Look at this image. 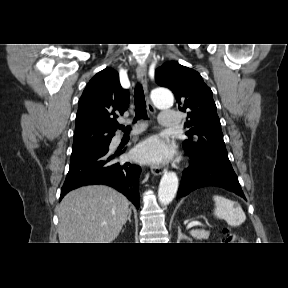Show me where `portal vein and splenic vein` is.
Returning <instances> with one entry per match:
<instances>
[{
    "label": "portal vein and splenic vein",
    "instance_id": "1",
    "mask_svg": "<svg viewBox=\"0 0 288 288\" xmlns=\"http://www.w3.org/2000/svg\"><path fill=\"white\" fill-rule=\"evenodd\" d=\"M196 226H203V224L200 222H197V221H193V222L188 224L187 228L190 229V228L196 227Z\"/></svg>",
    "mask_w": 288,
    "mask_h": 288
}]
</instances>
